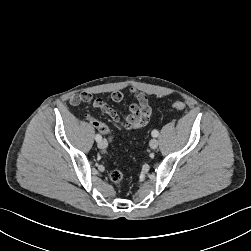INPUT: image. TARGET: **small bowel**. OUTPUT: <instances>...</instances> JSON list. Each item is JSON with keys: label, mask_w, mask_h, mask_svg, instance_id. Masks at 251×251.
Segmentation results:
<instances>
[{"label": "small bowel", "mask_w": 251, "mask_h": 251, "mask_svg": "<svg viewBox=\"0 0 251 251\" xmlns=\"http://www.w3.org/2000/svg\"><path fill=\"white\" fill-rule=\"evenodd\" d=\"M129 92L136 102L129 106V111L124 116H121L115 109H113L101 98H97L92 101L93 97L88 92H83L71 97L70 104L75 106L81 102L92 101L93 108L108 115L115 124L125 130H135L148 124L151 116V107L144 92L135 88H131ZM123 98L124 94L121 91H114L110 95V99L114 103L121 102Z\"/></svg>", "instance_id": "small-bowel-1"}]
</instances>
